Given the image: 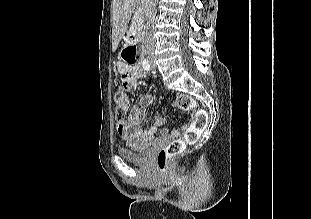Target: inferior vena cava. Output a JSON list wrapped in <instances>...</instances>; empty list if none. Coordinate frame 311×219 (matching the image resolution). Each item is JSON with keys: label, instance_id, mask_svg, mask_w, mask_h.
I'll list each match as a JSON object with an SVG mask.
<instances>
[{"label": "inferior vena cava", "instance_id": "602c4592", "mask_svg": "<svg viewBox=\"0 0 311 219\" xmlns=\"http://www.w3.org/2000/svg\"><path fill=\"white\" fill-rule=\"evenodd\" d=\"M144 6V13L146 16V30L144 48L145 51H152L154 49V26L156 21V10L152 0H142Z\"/></svg>", "mask_w": 311, "mask_h": 219}]
</instances>
